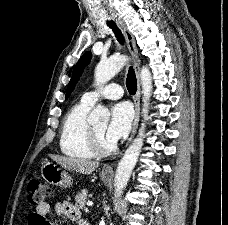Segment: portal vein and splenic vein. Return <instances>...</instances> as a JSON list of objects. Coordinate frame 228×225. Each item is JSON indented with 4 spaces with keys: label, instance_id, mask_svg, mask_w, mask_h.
Segmentation results:
<instances>
[{
    "label": "portal vein and splenic vein",
    "instance_id": "obj_1",
    "mask_svg": "<svg viewBox=\"0 0 228 225\" xmlns=\"http://www.w3.org/2000/svg\"><path fill=\"white\" fill-rule=\"evenodd\" d=\"M93 203H87V207H92Z\"/></svg>",
    "mask_w": 228,
    "mask_h": 225
}]
</instances>
